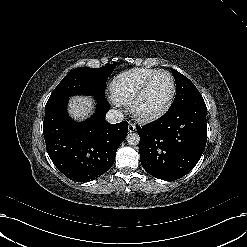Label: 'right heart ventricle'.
I'll return each instance as SVG.
<instances>
[{
    "mask_svg": "<svg viewBox=\"0 0 247 247\" xmlns=\"http://www.w3.org/2000/svg\"><path fill=\"white\" fill-rule=\"evenodd\" d=\"M157 71H159V69L137 67L120 73L112 82V96L123 104L130 102L141 85Z\"/></svg>",
    "mask_w": 247,
    "mask_h": 247,
    "instance_id": "e07e8e85",
    "label": "right heart ventricle"
}]
</instances>
